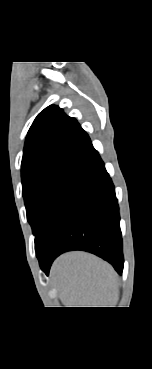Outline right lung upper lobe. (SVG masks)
<instances>
[{
  "instance_id": "right-lung-upper-lobe-1",
  "label": "right lung upper lobe",
  "mask_w": 152,
  "mask_h": 369,
  "mask_svg": "<svg viewBox=\"0 0 152 369\" xmlns=\"http://www.w3.org/2000/svg\"><path fill=\"white\" fill-rule=\"evenodd\" d=\"M94 150L75 118L50 105L32 123L23 150L21 177L31 170L59 163H81Z\"/></svg>"
}]
</instances>
